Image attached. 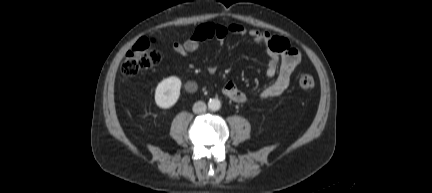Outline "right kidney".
Returning a JSON list of instances; mask_svg holds the SVG:
<instances>
[{
  "label": "right kidney",
  "mask_w": 432,
  "mask_h": 193,
  "mask_svg": "<svg viewBox=\"0 0 432 193\" xmlns=\"http://www.w3.org/2000/svg\"><path fill=\"white\" fill-rule=\"evenodd\" d=\"M181 80L176 76L163 79L156 87L155 102L163 109L176 104L180 96Z\"/></svg>",
  "instance_id": "obj_1"
}]
</instances>
